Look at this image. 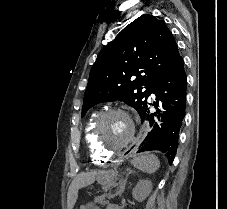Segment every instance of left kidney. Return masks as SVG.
Segmentation results:
<instances>
[{
	"label": "left kidney",
	"instance_id": "1",
	"mask_svg": "<svg viewBox=\"0 0 227 209\" xmlns=\"http://www.w3.org/2000/svg\"><path fill=\"white\" fill-rule=\"evenodd\" d=\"M152 189L153 185L151 181H147V179H141V181L137 183L135 189L132 191L133 199H136V201H144L146 197H149Z\"/></svg>",
	"mask_w": 227,
	"mask_h": 209
}]
</instances>
